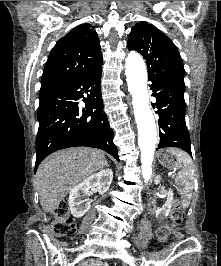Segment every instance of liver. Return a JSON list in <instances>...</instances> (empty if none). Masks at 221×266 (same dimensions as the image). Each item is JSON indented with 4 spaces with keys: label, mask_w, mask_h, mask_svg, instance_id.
Segmentation results:
<instances>
[{
    "label": "liver",
    "mask_w": 221,
    "mask_h": 266,
    "mask_svg": "<svg viewBox=\"0 0 221 266\" xmlns=\"http://www.w3.org/2000/svg\"><path fill=\"white\" fill-rule=\"evenodd\" d=\"M99 149L75 147L57 151L43 160L36 173V186L42 209L52 213L78 183L104 168Z\"/></svg>",
    "instance_id": "6515ba94"
}]
</instances>
